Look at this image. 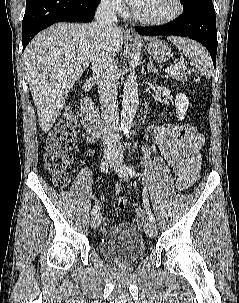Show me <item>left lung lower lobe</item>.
I'll return each mask as SVG.
<instances>
[{"instance_id":"obj_1","label":"left lung lower lobe","mask_w":239,"mask_h":303,"mask_svg":"<svg viewBox=\"0 0 239 303\" xmlns=\"http://www.w3.org/2000/svg\"><path fill=\"white\" fill-rule=\"evenodd\" d=\"M135 30L140 35H176L197 40L207 48L216 66L217 31L212 0H199L183 8L181 17L171 24Z\"/></svg>"}]
</instances>
